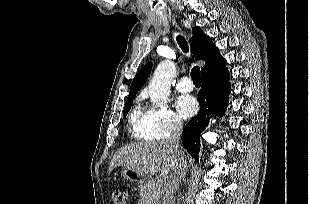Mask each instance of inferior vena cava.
<instances>
[{
  "label": "inferior vena cava",
  "instance_id": "obj_1",
  "mask_svg": "<svg viewBox=\"0 0 309 204\" xmlns=\"http://www.w3.org/2000/svg\"><path fill=\"white\" fill-rule=\"evenodd\" d=\"M183 125L181 121H175L172 126L171 134L167 138L166 142L171 146L177 155L176 167L174 169V175L172 181L169 183L164 196L163 204H174L173 196L178 190L180 184L185 180L187 161L184 151L180 147L179 141Z\"/></svg>",
  "mask_w": 309,
  "mask_h": 204
}]
</instances>
